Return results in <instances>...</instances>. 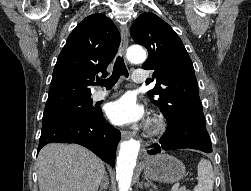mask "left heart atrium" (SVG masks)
<instances>
[{"instance_id": "1", "label": "left heart atrium", "mask_w": 251, "mask_h": 191, "mask_svg": "<svg viewBox=\"0 0 251 191\" xmlns=\"http://www.w3.org/2000/svg\"><path fill=\"white\" fill-rule=\"evenodd\" d=\"M110 121L119 126L136 124L143 119L144 110L130 96H124L107 106Z\"/></svg>"}]
</instances>
